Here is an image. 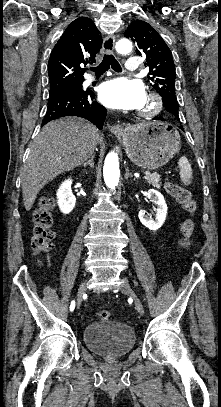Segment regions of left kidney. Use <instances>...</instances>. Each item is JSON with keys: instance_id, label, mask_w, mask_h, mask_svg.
Masks as SVG:
<instances>
[{"instance_id": "left-kidney-1", "label": "left kidney", "mask_w": 221, "mask_h": 407, "mask_svg": "<svg viewBox=\"0 0 221 407\" xmlns=\"http://www.w3.org/2000/svg\"><path fill=\"white\" fill-rule=\"evenodd\" d=\"M147 197L157 206L155 220L145 215L144 211H140L138 217L141 223L149 230H158L165 222L167 215V204L163 195L155 189H150L147 192Z\"/></svg>"}]
</instances>
